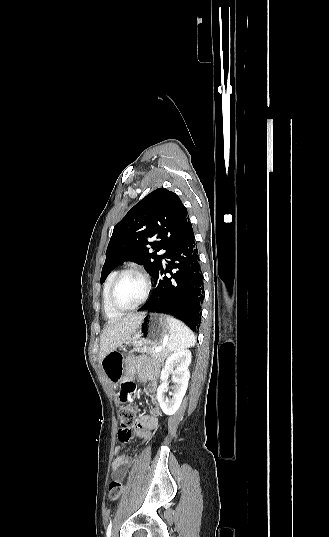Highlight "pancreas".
<instances>
[{"label": "pancreas", "instance_id": "cf45deb5", "mask_svg": "<svg viewBox=\"0 0 329 537\" xmlns=\"http://www.w3.org/2000/svg\"><path fill=\"white\" fill-rule=\"evenodd\" d=\"M134 351L148 353V354H150V357H151V359L153 361L159 362V363H163L165 358L168 355V352L165 349H162V351L157 352L155 350V347H149V346L137 347V348L133 349L131 351V353L134 352Z\"/></svg>", "mask_w": 329, "mask_h": 537}]
</instances>
